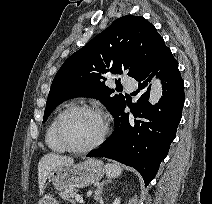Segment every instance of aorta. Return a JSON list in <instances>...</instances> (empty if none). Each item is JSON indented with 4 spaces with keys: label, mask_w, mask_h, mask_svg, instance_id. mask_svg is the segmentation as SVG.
I'll return each mask as SVG.
<instances>
[{
    "label": "aorta",
    "mask_w": 212,
    "mask_h": 204,
    "mask_svg": "<svg viewBox=\"0 0 212 204\" xmlns=\"http://www.w3.org/2000/svg\"><path fill=\"white\" fill-rule=\"evenodd\" d=\"M151 90H150V96H149V102L150 104L154 105L156 104L160 98L162 97V84L161 81L157 78H153L151 82Z\"/></svg>",
    "instance_id": "762f6f07"
}]
</instances>
